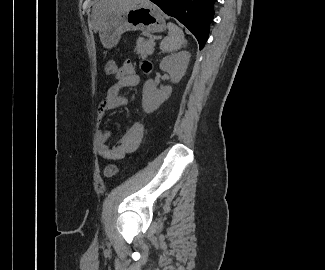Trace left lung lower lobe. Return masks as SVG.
Segmentation results:
<instances>
[{
    "instance_id": "1",
    "label": "left lung lower lobe",
    "mask_w": 325,
    "mask_h": 270,
    "mask_svg": "<svg viewBox=\"0 0 325 270\" xmlns=\"http://www.w3.org/2000/svg\"><path fill=\"white\" fill-rule=\"evenodd\" d=\"M167 15L175 17L196 37L200 50L209 35V23L213 19L216 0H150Z\"/></svg>"
}]
</instances>
